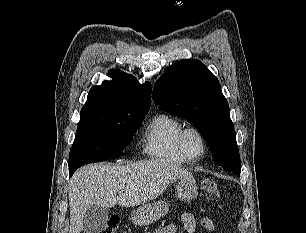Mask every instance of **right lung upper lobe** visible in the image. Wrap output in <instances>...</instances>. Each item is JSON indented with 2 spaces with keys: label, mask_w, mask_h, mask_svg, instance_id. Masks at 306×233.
I'll return each instance as SVG.
<instances>
[{
  "label": "right lung upper lobe",
  "mask_w": 306,
  "mask_h": 233,
  "mask_svg": "<svg viewBox=\"0 0 306 233\" xmlns=\"http://www.w3.org/2000/svg\"><path fill=\"white\" fill-rule=\"evenodd\" d=\"M112 81L93 86L82 110H111L122 113H147L151 100V84H140L127 73L111 69Z\"/></svg>",
  "instance_id": "obj_1"
}]
</instances>
